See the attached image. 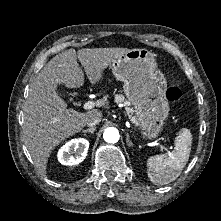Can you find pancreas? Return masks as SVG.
<instances>
[{
    "mask_svg": "<svg viewBox=\"0 0 221 221\" xmlns=\"http://www.w3.org/2000/svg\"><path fill=\"white\" fill-rule=\"evenodd\" d=\"M115 102L123 103L125 106L126 113L131 119V121L138 125L136 117L133 116V113L135 112L134 109L130 107V102L126 101L122 94H115Z\"/></svg>",
    "mask_w": 221,
    "mask_h": 221,
    "instance_id": "cf45deb5",
    "label": "pancreas"
}]
</instances>
